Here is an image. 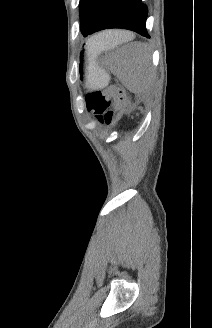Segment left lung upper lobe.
Returning <instances> with one entry per match:
<instances>
[{
	"label": "left lung upper lobe",
	"mask_w": 212,
	"mask_h": 328,
	"mask_svg": "<svg viewBox=\"0 0 212 328\" xmlns=\"http://www.w3.org/2000/svg\"><path fill=\"white\" fill-rule=\"evenodd\" d=\"M106 0H80V30L84 36L93 27L96 18Z\"/></svg>",
	"instance_id": "1"
}]
</instances>
